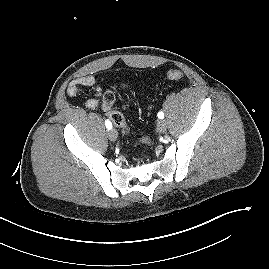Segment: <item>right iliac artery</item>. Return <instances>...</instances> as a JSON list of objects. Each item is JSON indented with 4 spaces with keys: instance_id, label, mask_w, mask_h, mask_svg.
<instances>
[{
    "instance_id": "right-iliac-artery-1",
    "label": "right iliac artery",
    "mask_w": 269,
    "mask_h": 269,
    "mask_svg": "<svg viewBox=\"0 0 269 269\" xmlns=\"http://www.w3.org/2000/svg\"><path fill=\"white\" fill-rule=\"evenodd\" d=\"M106 128L110 130L112 128V123L109 120L105 121Z\"/></svg>"
}]
</instances>
